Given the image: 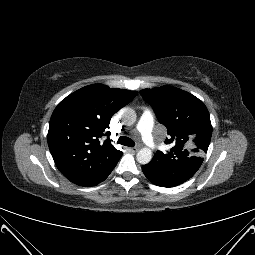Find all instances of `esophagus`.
<instances>
[{
    "instance_id": "1",
    "label": "esophagus",
    "mask_w": 255,
    "mask_h": 255,
    "mask_svg": "<svg viewBox=\"0 0 255 255\" xmlns=\"http://www.w3.org/2000/svg\"><path fill=\"white\" fill-rule=\"evenodd\" d=\"M128 150L131 152V153H136L139 148L138 147H131V148H128Z\"/></svg>"
}]
</instances>
